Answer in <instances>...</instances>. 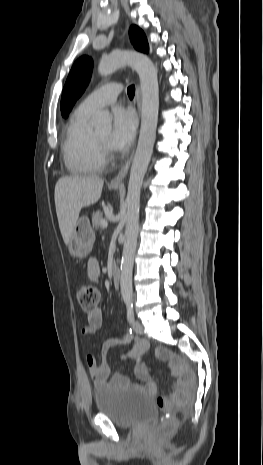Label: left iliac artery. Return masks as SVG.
I'll use <instances>...</instances> for the list:
<instances>
[{
    "mask_svg": "<svg viewBox=\"0 0 263 465\" xmlns=\"http://www.w3.org/2000/svg\"><path fill=\"white\" fill-rule=\"evenodd\" d=\"M126 307H127V320L131 324L134 322L133 303L130 301L126 302Z\"/></svg>",
    "mask_w": 263,
    "mask_h": 465,
    "instance_id": "left-iliac-artery-1",
    "label": "left iliac artery"
}]
</instances>
